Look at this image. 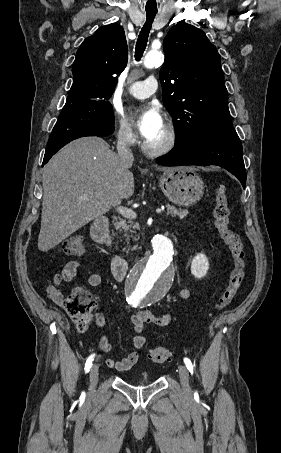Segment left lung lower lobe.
Segmentation results:
<instances>
[{
    "label": "left lung lower lobe",
    "instance_id": "0a47b994",
    "mask_svg": "<svg viewBox=\"0 0 281 453\" xmlns=\"http://www.w3.org/2000/svg\"><path fill=\"white\" fill-rule=\"evenodd\" d=\"M157 163L164 166L217 165L235 175L245 188L246 171L243 150L234 128L176 145L171 152L159 157Z\"/></svg>",
    "mask_w": 281,
    "mask_h": 453
}]
</instances>
